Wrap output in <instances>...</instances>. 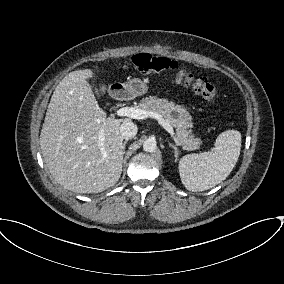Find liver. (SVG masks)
<instances>
[{"instance_id":"obj_1","label":"liver","mask_w":284,"mask_h":284,"mask_svg":"<svg viewBox=\"0 0 284 284\" xmlns=\"http://www.w3.org/2000/svg\"><path fill=\"white\" fill-rule=\"evenodd\" d=\"M93 75L90 69L77 70L59 82L40 134L50 173L65 189L77 193H99L118 182L124 154L120 125L131 121L106 118L87 82Z\"/></svg>"}]
</instances>
